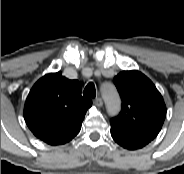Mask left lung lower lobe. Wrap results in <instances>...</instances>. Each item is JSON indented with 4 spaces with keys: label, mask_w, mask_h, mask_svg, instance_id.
I'll return each instance as SVG.
<instances>
[{
    "label": "left lung lower lobe",
    "mask_w": 184,
    "mask_h": 174,
    "mask_svg": "<svg viewBox=\"0 0 184 174\" xmlns=\"http://www.w3.org/2000/svg\"><path fill=\"white\" fill-rule=\"evenodd\" d=\"M111 136L116 143L129 150L142 148L151 141L143 137L131 135L112 126Z\"/></svg>",
    "instance_id": "left-lung-lower-lobe-1"
}]
</instances>
